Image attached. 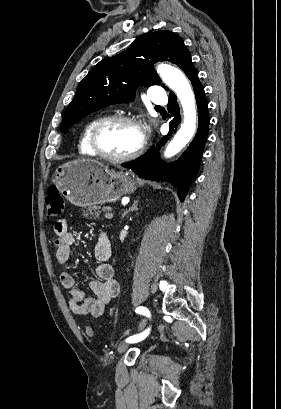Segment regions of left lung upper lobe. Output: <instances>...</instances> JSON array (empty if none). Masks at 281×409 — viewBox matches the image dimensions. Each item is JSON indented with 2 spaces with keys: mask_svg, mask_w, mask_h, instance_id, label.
<instances>
[{
  "mask_svg": "<svg viewBox=\"0 0 281 409\" xmlns=\"http://www.w3.org/2000/svg\"><path fill=\"white\" fill-rule=\"evenodd\" d=\"M156 61L175 63L188 78L195 70L191 55L178 35L169 30L145 35L122 53L99 62L79 83L63 115L61 132L101 108L132 101L135 87L140 84H160V78L151 69Z\"/></svg>",
  "mask_w": 281,
  "mask_h": 409,
  "instance_id": "left-lung-upper-lobe-1",
  "label": "left lung upper lobe"
}]
</instances>
